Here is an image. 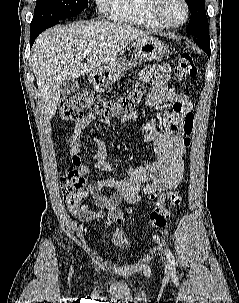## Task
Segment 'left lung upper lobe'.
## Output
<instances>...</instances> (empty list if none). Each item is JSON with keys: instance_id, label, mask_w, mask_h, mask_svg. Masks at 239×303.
Instances as JSON below:
<instances>
[{"instance_id": "left-lung-upper-lobe-1", "label": "left lung upper lobe", "mask_w": 239, "mask_h": 303, "mask_svg": "<svg viewBox=\"0 0 239 303\" xmlns=\"http://www.w3.org/2000/svg\"><path fill=\"white\" fill-rule=\"evenodd\" d=\"M191 12L186 32L198 40H210L209 25L205 11V0H185Z\"/></svg>"}]
</instances>
